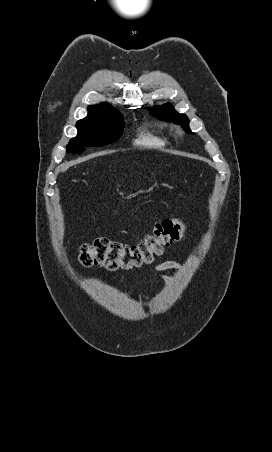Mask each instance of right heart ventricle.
Segmentation results:
<instances>
[{"mask_svg": "<svg viewBox=\"0 0 272 452\" xmlns=\"http://www.w3.org/2000/svg\"><path fill=\"white\" fill-rule=\"evenodd\" d=\"M135 143L138 146L147 148H161L166 145V139L155 131L143 130Z\"/></svg>", "mask_w": 272, "mask_h": 452, "instance_id": "obj_1", "label": "right heart ventricle"}]
</instances>
